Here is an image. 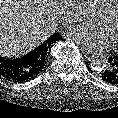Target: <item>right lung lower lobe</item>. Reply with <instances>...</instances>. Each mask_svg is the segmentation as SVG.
<instances>
[{
    "instance_id": "1",
    "label": "right lung lower lobe",
    "mask_w": 118,
    "mask_h": 118,
    "mask_svg": "<svg viewBox=\"0 0 118 118\" xmlns=\"http://www.w3.org/2000/svg\"><path fill=\"white\" fill-rule=\"evenodd\" d=\"M56 36L57 40L62 39L60 35ZM37 65L38 59L32 52L14 60L0 57V75L10 81L26 82L37 76L44 68H39Z\"/></svg>"
}]
</instances>
